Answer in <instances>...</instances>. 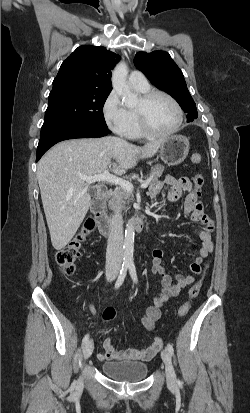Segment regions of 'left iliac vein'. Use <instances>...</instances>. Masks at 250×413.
Instances as JSON below:
<instances>
[{
    "mask_svg": "<svg viewBox=\"0 0 250 413\" xmlns=\"http://www.w3.org/2000/svg\"><path fill=\"white\" fill-rule=\"evenodd\" d=\"M161 357L165 364L167 383L172 386L175 384L176 376L172 366L171 355L167 349H164L161 352Z\"/></svg>",
    "mask_w": 250,
    "mask_h": 413,
    "instance_id": "obj_1",
    "label": "left iliac vein"
}]
</instances>
